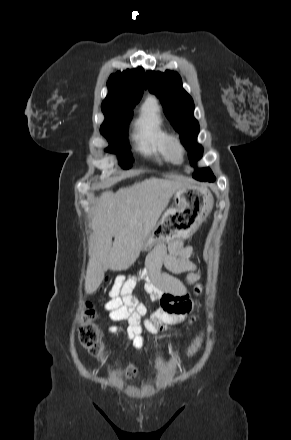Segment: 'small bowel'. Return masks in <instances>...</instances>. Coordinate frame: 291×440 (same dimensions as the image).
<instances>
[{
  "label": "small bowel",
  "instance_id": "small-bowel-1",
  "mask_svg": "<svg viewBox=\"0 0 291 440\" xmlns=\"http://www.w3.org/2000/svg\"><path fill=\"white\" fill-rule=\"evenodd\" d=\"M193 250L182 241H174L166 246L155 247L146 258V272L130 278H116L109 292L110 300L105 304V310L113 321L127 320L125 329L114 325L109 328L112 334L124 333L136 350L144 344L143 328L150 333L159 330L166 331L174 318L187 315L193 322V311L197 304L189 299L188 287H194L199 294L202 287L199 284L201 273L192 261ZM173 273L187 274L186 284L170 273L161 272L162 265ZM144 279L143 290L149 295L150 301H158L160 307L141 325L140 319L148 312L146 303L132 295L136 283Z\"/></svg>",
  "mask_w": 291,
  "mask_h": 440
}]
</instances>
